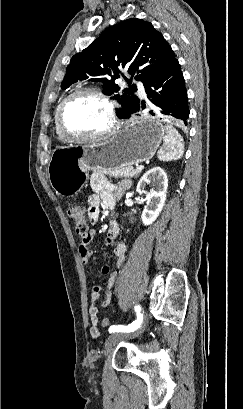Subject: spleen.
<instances>
[{"instance_id":"obj_1","label":"spleen","mask_w":243,"mask_h":409,"mask_svg":"<svg viewBox=\"0 0 243 409\" xmlns=\"http://www.w3.org/2000/svg\"><path fill=\"white\" fill-rule=\"evenodd\" d=\"M164 127V144L158 151V159L161 161L177 160L182 157L184 152L183 139L172 125L167 123Z\"/></svg>"}]
</instances>
